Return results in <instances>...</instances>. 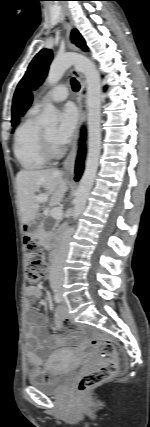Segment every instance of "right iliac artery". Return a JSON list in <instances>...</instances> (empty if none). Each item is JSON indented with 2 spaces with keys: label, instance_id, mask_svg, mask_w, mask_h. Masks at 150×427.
Here are the masks:
<instances>
[{
  "label": "right iliac artery",
  "instance_id": "82829eb1",
  "mask_svg": "<svg viewBox=\"0 0 150 427\" xmlns=\"http://www.w3.org/2000/svg\"><path fill=\"white\" fill-rule=\"evenodd\" d=\"M54 300H55L56 303H60L61 302V298H60V296L57 293L54 294Z\"/></svg>",
  "mask_w": 150,
  "mask_h": 427
}]
</instances>
